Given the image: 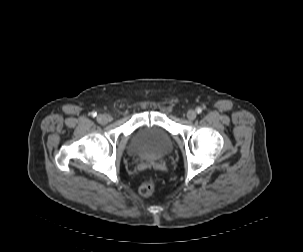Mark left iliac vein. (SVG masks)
<instances>
[{
	"mask_svg": "<svg viewBox=\"0 0 303 252\" xmlns=\"http://www.w3.org/2000/svg\"><path fill=\"white\" fill-rule=\"evenodd\" d=\"M196 116H197V114H196V112L194 110H189L187 112V118L189 120H194L196 118Z\"/></svg>",
	"mask_w": 303,
	"mask_h": 252,
	"instance_id": "left-iliac-vein-1",
	"label": "left iliac vein"
}]
</instances>
